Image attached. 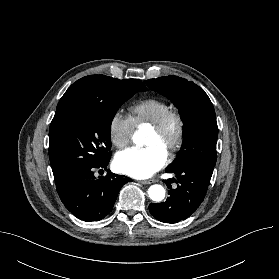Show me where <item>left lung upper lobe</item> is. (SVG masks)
<instances>
[{
    "mask_svg": "<svg viewBox=\"0 0 279 279\" xmlns=\"http://www.w3.org/2000/svg\"><path fill=\"white\" fill-rule=\"evenodd\" d=\"M145 83L151 90L168 97L178 107L183 120V145L167 169L193 168L212 176L218 127L207 94L193 82L172 75L146 80Z\"/></svg>",
    "mask_w": 279,
    "mask_h": 279,
    "instance_id": "5c2ea615",
    "label": "left lung upper lobe"
}]
</instances>
